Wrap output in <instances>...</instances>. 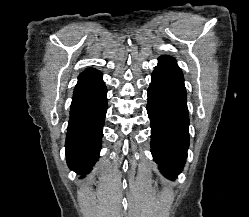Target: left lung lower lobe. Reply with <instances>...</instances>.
I'll use <instances>...</instances> for the list:
<instances>
[{"instance_id": "0a47b994", "label": "left lung lower lobe", "mask_w": 249, "mask_h": 217, "mask_svg": "<svg viewBox=\"0 0 249 217\" xmlns=\"http://www.w3.org/2000/svg\"><path fill=\"white\" fill-rule=\"evenodd\" d=\"M148 88L147 112L151 121V152L161 173L177 177L189 147V116L184 77L176 60L161 56Z\"/></svg>"}]
</instances>
